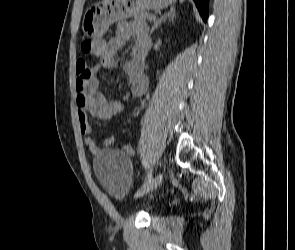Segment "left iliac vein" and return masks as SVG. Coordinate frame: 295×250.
Wrapping results in <instances>:
<instances>
[{"label":"left iliac vein","mask_w":295,"mask_h":250,"mask_svg":"<svg viewBox=\"0 0 295 250\" xmlns=\"http://www.w3.org/2000/svg\"><path fill=\"white\" fill-rule=\"evenodd\" d=\"M163 178L162 173L157 174L138 197H143L151 193L163 181Z\"/></svg>","instance_id":"left-iliac-vein-1"}]
</instances>
